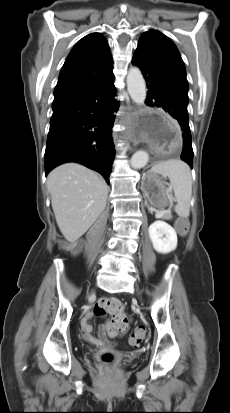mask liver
<instances>
[{
  "label": "liver",
  "instance_id": "obj_1",
  "mask_svg": "<svg viewBox=\"0 0 230 413\" xmlns=\"http://www.w3.org/2000/svg\"><path fill=\"white\" fill-rule=\"evenodd\" d=\"M47 188L57 225L69 242L78 240L105 209V180L80 164L67 163L52 170Z\"/></svg>",
  "mask_w": 230,
  "mask_h": 413
}]
</instances>
